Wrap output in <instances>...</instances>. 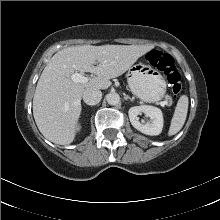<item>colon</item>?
I'll return each mask as SVG.
<instances>
[{
	"instance_id": "1",
	"label": "colon",
	"mask_w": 220,
	"mask_h": 220,
	"mask_svg": "<svg viewBox=\"0 0 220 220\" xmlns=\"http://www.w3.org/2000/svg\"><path fill=\"white\" fill-rule=\"evenodd\" d=\"M147 62L162 71L166 75L168 87L172 95L176 98L182 90L181 76L178 72L173 57L159 50H151L146 55Z\"/></svg>"
}]
</instances>
